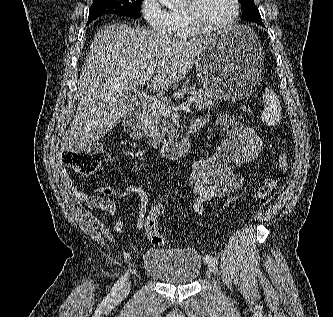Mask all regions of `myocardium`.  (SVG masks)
Masks as SVG:
<instances>
[{"mask_svg": "<svg viewBox=\"0 0 333 317\" xmlns=\"http://www.w3.org/2000/svg\"><path fill=\"white\" fill-rule=\"evenodd\" d=\"M234 4L233 14L225 22L217 25H208L204 23L199 16V6L201 0H185L184 5L181 8L186 21L189 26L200 34H209L224 30L232 26L237 18L239 17L241 11V4L239 0H232Z\"/></svg>", "mask_w": 333, "mask_h": 317, "instance_id": "f54148a6", "label": "myocardium"}]
</instances>
